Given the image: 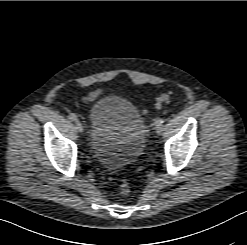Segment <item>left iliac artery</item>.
Listing matches in <instances>:
<instances>
[{"label":"left iliac artery","mask_w":247,"mask_h":245,"mask_svg":"<svg viewBox=\"0 0 247 245\" xmlns=\"http://www.w3.org/2000/svg\"><path fill=\"white\" fill-rule=\"evenodd\" d=\"M164 121H165V120H164L163 118H158V119L155 121V123L161 125V124L164 123Z\"/></svg>","instance_id":"left-iliac-artery-1"}]
</instances>
